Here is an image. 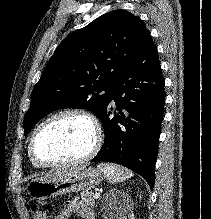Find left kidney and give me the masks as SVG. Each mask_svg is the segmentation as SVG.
<instances>
[{"instance_id": "left-kidney-1", "label": "left kidney", "mask_w": 211, "mask_h": 219, "mask_svg": "<svg viewBox=\"0 0 211 219\" xmlns=\"http://www.w3.org/2000/svg\"><path fill=\"white\" fill-rule=\"evenodd\" d=\"M112 194H116V195L120 196V201L118 202V204H120L122 206V200H125L127 198V194L122 193L120 191L112 192ZM115 216L119 219H122V218L135 219L133 214H124L123 212H118Z\"/></svg>"}]
</instances>
